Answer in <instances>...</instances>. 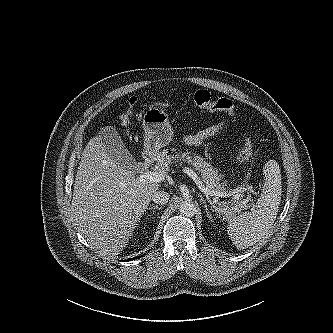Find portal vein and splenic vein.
Masks as SVG:
<instances>
[{
    "label": "portal vein and splenic vein",
    "instance_id": "obj_1",
    "mask_svg": "<svg viewBox=\"0 0 333 333\" xmlns=\"http://www.w3.org/2000/svg\"><path fill=\"white\" fill-rule=\"evenodd\" d=\"M183 172L186 173L189 177H191L194 182L196 183V185L198 186V188L205 194V195H209V196H214V203L217 202V199L219 197L223 196V193L221 192H217L214 190L209 189L208 187H206L203 182L201 181L200 177L197 175V173L193 170V168L191 167H183ZM165 171L164 170H159V171H147L144 172L142 174H140L137 179L141 182H150V183H160L161 181H163L165 179ZM248 190L251 191V188H247ZM246 190V188H237L234 189L230 195L234 196V200H239L240 196H241V192ZM247 201H241L238 203V207L239 208H247L248 206L246 205ZM238 207H233L232 210L235 211H239ZM221 211V210H219Z\"/></svg>",
    "mask_w": 333,
    "mask_h": 333
}]
</instances>
